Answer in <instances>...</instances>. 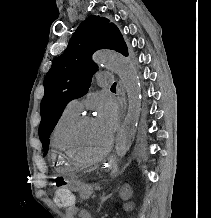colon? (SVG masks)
<instances>
[{"label": "colon", "mask_w": 211, "mask_h": 218, "mask_svg": "<svg viewBox=\"0 0 211 218\" xmlns=\"http://www.w3.org/2000/svg\"><path fill=\"white\" fill-rule=\"evenodd\" d=\"M54 199L56 204L62 208H71L75 205V196L72 191L64 186L60 185L57 187Z\"/></svg>", "instance_id": "colon-1"}]
</instances>
